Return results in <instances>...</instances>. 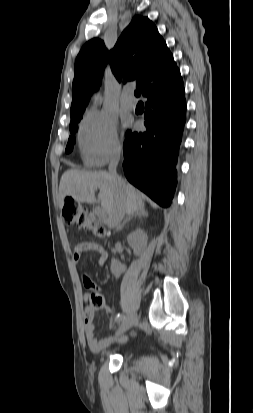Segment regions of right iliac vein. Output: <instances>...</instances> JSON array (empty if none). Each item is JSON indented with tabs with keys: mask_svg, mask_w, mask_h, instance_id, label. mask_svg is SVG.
<instances>
[{
	"mask_svg": "<svg viewBox=\"0 0 253 413\" xmlns=\"http://www.w3.org/2000/svg\"><path fill=\"white\" fill-rule=\"evenodd\" d=\"M137 322V316L136 315H131L130 317L126 318L123 320L120 328L118 329L116 335H120L130 329L135 323Z\"/></svg>",
	"mask_w": 253,
	"mask_h": 413,
	"instance_id": "1",
	"label": "right iliac vein"
}]
</instances>
